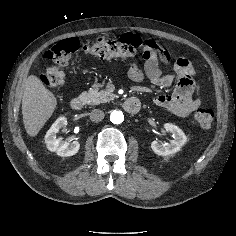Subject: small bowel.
<instances>
[{
  "label": "small bowel",
  "instance_id": "obj_1",
  "mask_svg": "<svg viewBox=\"0 0 236 236\" xmlns=\"http://www.w3.org/2000/svg\"><path fill=\"white\" fill-rule=\"evenodd\" d=\"M123 42L135 44L145 49H157L159 55L146 60L144 70L136 64H132L128 71L129 78L134 82H142L147 77L153 84L161 87H169L176 82V88L171 95L161 94L154 98V103L165 108L177 116L185 117L194 112L201 104L198 94L199 88L194 78V71L190 61L180 57L172 64V73L163 74L159 67V60L166 65L171 64V55L158 48L150 39H142L135 34L122 36Z\"/></svg>",
  "mask_w": 236,
  "mask_h": 236
}]
</instances>
